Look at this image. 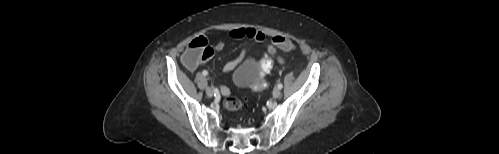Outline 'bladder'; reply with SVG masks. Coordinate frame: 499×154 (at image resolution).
Masks as SVG:
<instances>
[{"mask_svg":"<svg viewBox=\"0 0 499 154\" xmlns=\"http://www.w3.org/2000/svg\"><path fill=\"white\" fill-rule=\"evenodd\" d=\"M261 68L252 59L241 64L233 75V84L236 88H245L252 85L260 77Z\"/></svg>","mask_w":499,"mask_h":154,"instance_id":"bladder-1","label":"bladder"}]
</instances>
